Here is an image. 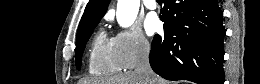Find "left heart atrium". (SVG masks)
Listing matches in <instances>:
<instances>
[{"label":"left heart atrium","instance_id":"left-heart-atrium-1","mask_svg":"<svg viewBox=\"0 0 260 84\" xmlns=\"http://www.w3.org/2000/svg\"><path fill=\"white\" fill-rule=\"evenodd\" d=\"M159 29V20L155 14H149L145 20V30L148 35L154 34Z\"/></svg>","mask_w":260,"mask_h":84}]
</instances>
